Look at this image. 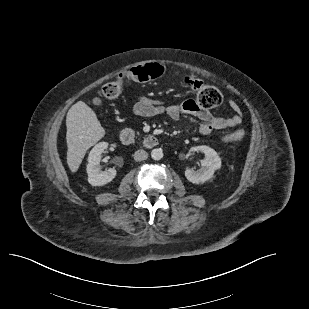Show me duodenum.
Listing matches in <instances>:
<instances>
[{"label": "duodenum", "mask_w": 309, "mask_h": 309, "mask_svg": "<svg viewBox=\"0 0 309 309\" xmlns=\"http://www.w3.org/2000/svg\"><path fill=\"white\" fill-rule=\"evenodd\" d=\"M134 132L130 128H123L119 131V139L125 145H130L134 142ZM159 144V140L154 135H148L143 139V145L147 148H153Z\"/></svg>", "instance_id": "410a0bca"}]
</instances>
